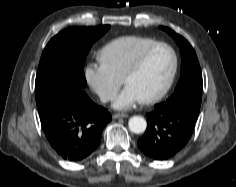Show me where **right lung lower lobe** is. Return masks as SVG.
<instances>
[{"label":"right lung lower lobe","mask_w":236,"mask_h":187,"mask_svg":"<svg viewBox=\"0 0 236 187\" xmlns=\"http://www.w3.org/2000/svg\"><path fill=\"white\" fill-rule=\"evenodd\" d=\"M47 140L65 160L79 162L98 147L110 113L83 89L57 88L37 106Z\"/></svg>","instance_id":"right-lung-lower-lobe-1"}]
</instances>
